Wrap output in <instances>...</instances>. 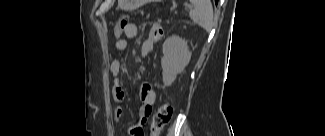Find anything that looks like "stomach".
Here are the masks:
<instances>
[{"label": "stomach", "instance_id": "0dacf381", "mask_svg": "<svg viewBox=\"0 0 325 136\" xmlns=\"http://www.w3.org/2000/svg\"><path fill=\"white\" fill-rule=\"evenodd\" d=\"M144 0H119V6L125 10H132L141 5Z\"/></svg>", "mask_w": 325, "mask_h": 136}]
</instances>
